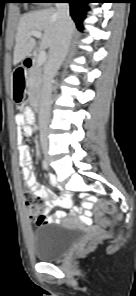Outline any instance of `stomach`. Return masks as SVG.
<instances>
[{"label":"stomach","instance_id":"stomach-1","mask_svg":"<svg viewBox=\"0 0 136 296\" xmlns=\"http://www.w3.org/2000/svg\"><path fill=\"white\" fill-rule=\"evenodd\" d=\"M26 85H12V89H10L11 98L13 101H23V94L25 93Z\"/></svg>","mask_w":136,"mask_h":296}]
</instances>
